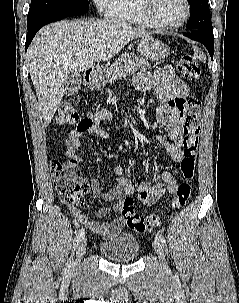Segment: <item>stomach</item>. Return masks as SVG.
<instances>
[{"label":"stomach","mask_w":239,"mask_h":303,"mask_svg":"<svg viewBox=\"0 0 239 303\" xmlns=\"http://www.w3.org/2000/svg\"><path fill=\"white\" fill-rule=\"evenodd\" d=\"M137 52L144 59H149L153 61H158L165 58L169 53V47L164 44L162 41L154 39L150 36L142 37L137 46ZM104 76L97 77L93 80V83L96 85H103L107 82Z\"/></svg>","instance_id":"1"}]
</instances>
